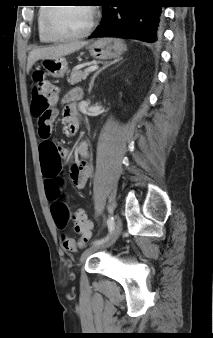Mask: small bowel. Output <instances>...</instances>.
<instances>
[{"mask_svg":"<svg viewBox=\"0 0 213 338\" xmlns=\"http://www.w3.org/2000/svg\"><path fill=\"white\" fill-rule=\"evenodd\" d=\"M80 96V91L78 89H73L68 92L62 100L65 104L63 115L67 123V126L65 127V133L67 135H71L70 131L72 122L77 121V123H79L78 118L75 116L74 110L75 102L80 99ZM49 123L51 124V121H49ZM47 142L50 143L51 141L49 139H45L43 140L41 146ZM78 150L81 154L85 155L87 152V145L85 143L79 145ZM61 155L67 156L68 151L63 147L58 146L50 155H46L42 150L40 151L41 172L43 177L45 178L46 196L48 201L50 202L51 213L57 226L63 229L66 226L67 220L59 223L53 213V208L57 204H60L58 200V195L60 193L62 183V165L60 163ZM90 173L91 167L82 163L72 164L69 168L70 178L74 186L79 190L85 188L88 178L90 177Z\"/></svg>","mask_w":213,"mask_h":338,"instance_id":"obj_1","label":"small bowel"}]
</instances>
